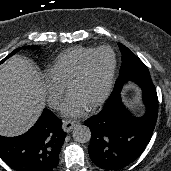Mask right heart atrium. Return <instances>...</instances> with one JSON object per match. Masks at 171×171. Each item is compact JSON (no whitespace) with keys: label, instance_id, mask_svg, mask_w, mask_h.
Masks as SVG:
<instances>
[{"label":"right heart atrium","instance_id":"1","mask_svg":"<svg viewBox=\"0 0 171 171\" xmlns=\"http://www.w3.org/2000/svg\"><path fill=\"white\" fill-rule=\"evenodd\" d=\"M42 82L49 105L54 109H58L66 86L61 84L49 72L43 75Z\"/></svg>","mask_w":171,"mask_h":171}]
</instances>
